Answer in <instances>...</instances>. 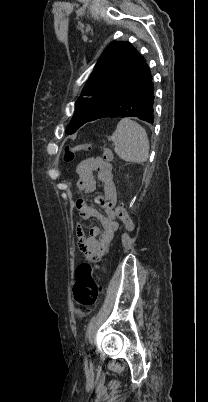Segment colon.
<instances>
[{
    "label": "colon",
    "mask_w": 208,
    "mask_h": 402,
    "mask_svg": "<svg viewBox=\"0 0 208 402\" xmlns=\"http://www.w3.org/2000/svg\"><path fill=\"white\" fill-rule=\"evenodd\" d=\"M92 147V144L89 143L76 146L67 145L65 147L64 154L67 160H73L78 152L89 151L92 149ZM103 155L105 160H112L111 150L103 149ZM115 213L116 216L124 223L126 228L128 230H132L134 222L129 216L123 201H119L116 204ZM73 295L75 302L81 309V314H85L98 302L100 296V287L94 278L92 266L87 262L80 263L76 268V281L73 287Z\"/></svg>",
    "instance_id": "obj_1"
}]
</instances>
